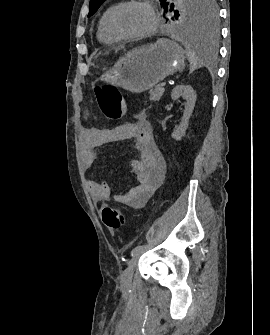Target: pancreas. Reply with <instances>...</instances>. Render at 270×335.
<instances>
[{
  "label": "pancreas",
  "instance_id": "pancreas-1",
  "mask_svg": "<svg viewBox=\"0 0 270 335\" xmlns=\"http://www.w3.org/2000/svg\"><path fill=\"white\" fill-rule=\"evenodd\" d=\"M164 88H162L161 84H158V86H155L154 90H150V100H154V102H158L160 100L161 96H163Z\"/></svg>",
  "mask_w": 270,
  "mask_h": 335
}]
</instances>
